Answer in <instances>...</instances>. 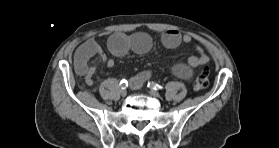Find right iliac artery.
I'll return each instance as SVG.
<instances>
[{"instance_id":"1","label":"right iliac artery","mask_w":279,"mask_h":148,"mask_svg":"<svg viewBox=\"0 0 279 148\" xmlns=\"http://www.w3.org/2000/svg\"><path fill=\"white\" fill-rule=\"evenodd\" d=\"M120 85L122 89H125L128 86L127 80L125 79L121 80Z\"/></svg>"}]
</instances>
